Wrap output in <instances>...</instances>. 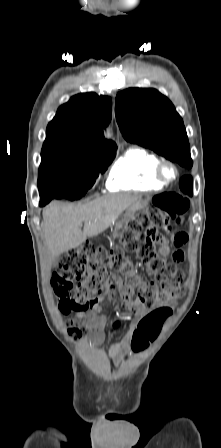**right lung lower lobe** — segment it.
<instances>
[{
    "label": "right lung lower lobe",
    "mask_w": 221,
    "mask_h": 448,
    "mask_svg": "<svg viewBox=\"0 0 221 448\" xmlns=\"http://www.w3.org/2000/svg\"><path fill=\"white\" fill-rule=\"evenodd\" d=\"M48 202H50V199H42V200H40L39 205H40V206H44V205H46Z\"/></svg>",
    "instance_id": "98d812e1"
}]
</instances>
